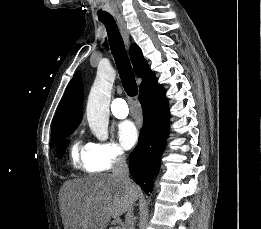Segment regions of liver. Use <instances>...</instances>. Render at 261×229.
<instances>
[{"mask_svg": "<svg viewBox=\"0 0 261 229\" xmlns=\"http://www.w3.org/2000/svg\"><path fill=\"white\" fill-rule=\"evenodd\" d=\"M64 187L66 229H106L111 217L119 219L138 197L135 185L129 189L112 175L71 179Z\"/></svg>", "mask_w": 261, "mask_h": 229, "instance_id": "liver-1", "label": "liver"}]
</instances>
